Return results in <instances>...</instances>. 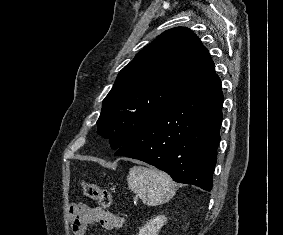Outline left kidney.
Returning <instances> with one entry per match:
<instances>
[{
    "label": "left kidney",
    "mask_w": 283,
    "mask_h": 235,
    "mask_svg": "<svg viewBox=\"0 0 283 235\" xmlns=\"http://www.w3.org/2000/svg\"><path fill=\"white\" fill-rule=\"evenodd\" d=\"M166 222L164 215L157 216L153 220L148 221L139 230L138 235H158V232Z\"/></svg>",
    "instance_id": "left-kidney-1"
}]
</instances>
